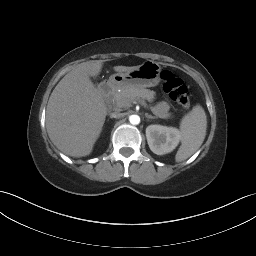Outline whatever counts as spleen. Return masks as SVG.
I'll return each mask as SVG.
<instances>
[{"mask_svg": "<svg viewBox=\"0 0 256 256\" xmlns=\"http://www.w3.org/2000/svg\"><path fill=\"white\" fill-rule=\"evenodd\" d=\"M206 128L205 111L196 105L181 121V146L175 156L176 162L186 160L199 149L205 139Z\"/></svg>", "mask_w": 256, "mask_h": 256, "instance_id": "3e777b00", "label": "spleen"}]
</instances>
